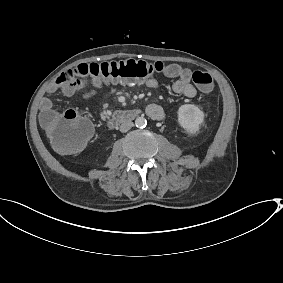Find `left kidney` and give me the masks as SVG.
Segmentation results:
<instances>
[{"mask_svg":"<svg viewBox=\"0 0 283 283\" xmlns=\"http://www.w3.org/2000/svg\"><path fill=\"white\" fill-rule=\"evenodd\" d=\"M178 122L188 134H196L204 123V113L193 104L182 105L178 110Z\"/></svg>","mask_w":283,"mask_h":283,"instance_id":"1","label":"left kidney"}]
</instances>
